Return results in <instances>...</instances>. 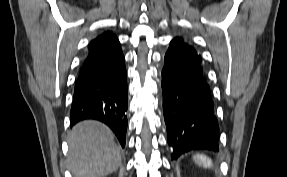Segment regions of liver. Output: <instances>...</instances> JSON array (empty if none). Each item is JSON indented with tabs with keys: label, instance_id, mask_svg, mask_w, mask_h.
Segmentation results:
<instances>
[{
	"label": "liver",
	"instance_id": "obj_1",
	"mask_svg": "<svg viewBox=\"0 0 287 177\" xmlns=\"http://www.w3.org/2000/svg\"><path fill=\"white\" fill-rule=\"evenodd\" d=\"M68 161L74 177H104L118 169L121 149L104 124L87 120L69 133Z\"/></svg>",
	"mask_w": 287,
	"mask_h": 177
}]
</instances>
